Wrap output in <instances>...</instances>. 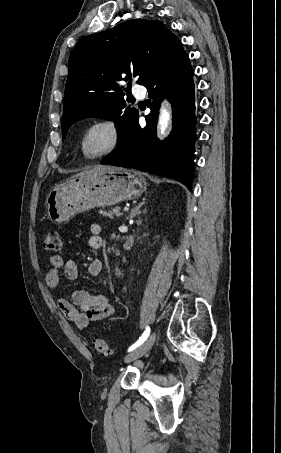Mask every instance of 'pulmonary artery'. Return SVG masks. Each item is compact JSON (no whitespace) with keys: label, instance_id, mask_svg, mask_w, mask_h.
<instances>
[{"label":"pulmonary artery","instance_id":"pulmonary-artery-1","mask_svg":"<svg viewBox=\"0 0 281 453\" xmlns=\"http://www.w3.org/2000/svg\"><path fill=\"white\" fill-rule=\"evenodd\" d=\"M133 95L137 99H143L146 96V91L145 90H133Z\"/></svg>","mask_w":281,"mask_h":453}]
</instances>
